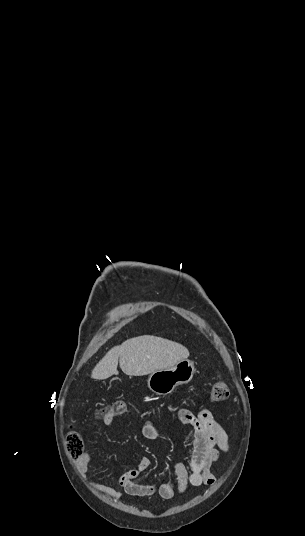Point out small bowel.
<instances>
[{
	"label": "small bowel",
	"mask_w": 305,
	"mask_h": 536,
	"mask_svg": "<svg viewBox=\"0 0 305 536\" xmlns=\"http://www.w3.org/2000/svg\"><path fill=\"white\" fill-rule=\"evenodd\" d=\"M177 416L181 422L190 427V442L193 452L190 463L192 472L190 473L182 462L177 461L173 463V469L176 473L175 482L163 483L159 487L154 484H142L135 480L140 478L152 464L149 457L143 456L136 467L125 472L118 480V484L123 488L125 494L149 497L158 493L161 498L167 500L168 497H174L176 494H184L189 485L199 487L214 483L211 467L217 461L220 453L227 452L229 449L227 432L215 415L206 408L197 413L180 409ZM110 423H112V418H107L103 425L108 427ZM142 434L149 440L160 438L158 426L151 421L143 425ZM91 460L92 455L89 451L80 455L79 470L83 475L90 470ZM89 486L94 491L113 499L123 497L121 491L106 484L89 481Z\"/></svg>",
	"instance_id": "small-bowel-1"
}]
</instances>
